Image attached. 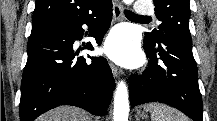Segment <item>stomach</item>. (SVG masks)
Wrapping results in <instances>:
<instances>
[{
	"instance_id": "stomach-1",
	"label": "stomach",
	"mask_w": 217,
	"mask_h": 121,
	"mask_svg": "<svg viewBox=\"0 0 217 121\" xmlns=\"http://www.w3.org/2000/svg\"><path fill=\"white\" fill-rule=\"evenodd\" d=\"M140 116L143 117V118H145V119L147 118V115H146L144 112H142V113L140 114Z\"/></svg>"
}]
</instances>
